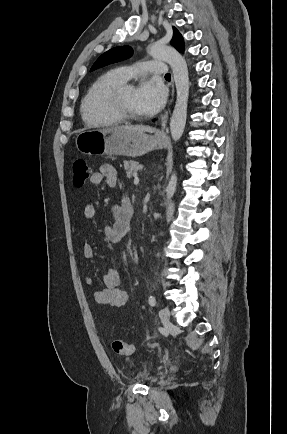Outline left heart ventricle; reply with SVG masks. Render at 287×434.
Returning <instances> with one entry per match:
<instances>
[{"label": "left heart ventricle", "instance_id": "1", "mask_svg": "<svg viewBox=\"0 0 287 434\" xmlns=\"http://www.w3.org/2000/svg\"><path fill=\"white\" fill-rule=\"evenodd\" d=\"M123 103L129 112L133 114H144L138 106L136 99V90L134 88H128L124 91Z\"/></svg>", "mask_w": 287, "mask_h": 434}]
</instances>
